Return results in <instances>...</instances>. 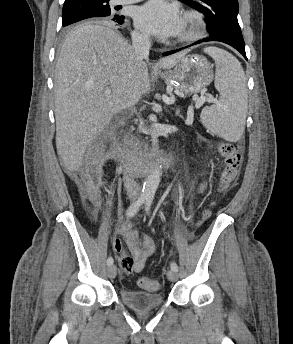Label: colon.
<instances>
[{
  "label": "colon",
  "mask_w": 293,
  "mask_h": 344,
  "mask_svg": "<svg viewBox=\"0 0 293 344\" xmlns=\"http://www.w3.org/2000/svg\"><path fill=\"white\" fill-rule=\"evenodd\" d=\"M218 151L223 157L224 167L220 175V192L225 194L229 191L233 183L238 177L239 170L242 163V153L239 148L231 142H220L218 144ZM211 215L210 210H206L203 218L200 221L202 224ZM139 286L148 290H156L159 287L157 281L149 278H141L138 282Z\"/></svg>",
  "instance_id": "obj_1"
}]
</instances>
